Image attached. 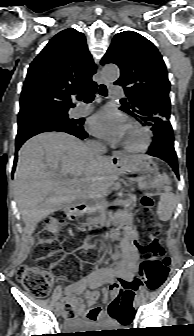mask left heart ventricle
<instances>
[{"label":"left heart ventricle","instance_id":"b2bd125f","mask_svg":"<svg viewBox=\"0 0 194 336\" xmlns=\"http://www.w3.org/2000/svg\"><path fill=\"white\" fill-rule=\"evenodd\" d=\"M143 140L142 135L127 125L125 135L123 138V143H127L129 145H139Z\"/></svg>","mask_w":194,"mask_h":336}]
</instances>
